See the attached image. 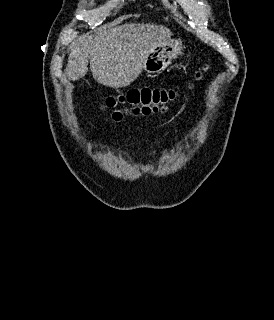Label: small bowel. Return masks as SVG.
Listing matches in <instances>:
<instances>
[{"label":"small bowel","mask_w":274,"mask_h":320,"mask_svg":"<svg viewBox=\"0 0 274 320\" xmlns=\"http://www.w3.org/2000/svg\"><path fill=\"white\" fill-rule=\"evenodd\" d=\"M166 154H167L166 150L164 148H162V146H158L155 150H153L147 154V158H151V157L159 155L160 159L162 161H164L166 158Z\"/></svg>","instance_id":"1"}]
</instances>
